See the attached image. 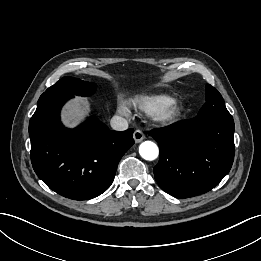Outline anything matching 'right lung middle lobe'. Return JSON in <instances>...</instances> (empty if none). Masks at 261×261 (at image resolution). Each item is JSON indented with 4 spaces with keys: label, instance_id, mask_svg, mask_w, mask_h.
Instances as JSON below:
<instances>
[{
    "label": "right lung middle lobe",
    "instance_id": "1",
    "mask_svg": "<svg viewBox=\"0 0 261 261\" xmlns=\"http://www.w3.org/2000/svg\"><path fill=\"white\" fill-rule=\"evenodd\" d=\"M96 90V85L78 78L63 77L44 93H67L71 95L89 96Z\"/></svg>",
    "mask_w": 261,
    "mask_h": 261
}]
</instances>
